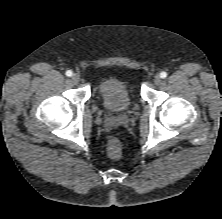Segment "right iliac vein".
<instances>
[{"label":"right iliac vein","mask_w":222,"mask_h":219,"mask_svg":"<svg viewBox=\"0 0 222 219\" xmlns=\"http://www.w3.org/2000/svg\"><path fill=\"white\" fill-rule=\"evenodd\" d=\"M80 80V77L78 74H73L72 77H71V81L74 83V84H77Z\"/></svg>","instance_id":"63e3f726"}]
</instances>
